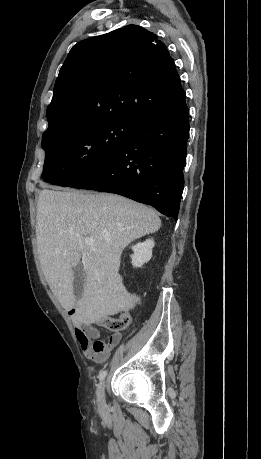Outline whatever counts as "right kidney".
Masks as SVG:
<instances>
[{"label":"right kidney","instance_id":"obj_1","mask_svg":"<svg viewBox=\"0 0 261 459\" xmlns=\"http://www.w3.org/2000/svg\"><path fill=\"white\" fill-rule=\"evenodd\" d=\"M155 245L153 239H147L144 242L137 243L132 246L133 254L131 255L132 265L134 267H141L152 258V249Z\"/></svg>","mask_w":261,"mask_h":459}]
</instances>
